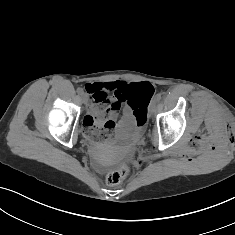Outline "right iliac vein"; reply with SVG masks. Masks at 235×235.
Returning <instances> with one entry per match:
<instances>
[{
  "instance_id": "63e3f726",
  "label": "right iliac vein",
  "mask_w": 235,
  "mask_h": 235,
  "mask_svg": "<svg viewBox=\"0 0 235 235\" xmlns=\"http://www.w3.org/2000/svg\"><path fill=\"white\" fill-rule=\"evenodd\" d=\"M82 101L84 104L88 103V96L85 93L82 94Z\"/></svg>"
}]
</instances>
